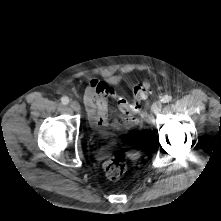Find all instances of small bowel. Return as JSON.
I'll use <instances>...</instances> for the list:
<instances>
[{
    "instance_id": "c3829d8e",
    "label": "small bowel",
    "mask_w": 221,
    "mask_h": 221,
    "mask_svg": "<svg viewBox=\"0 0 221 221\" xmlns=\"http://www.w3.org/2000/svg\"><path fill=\"white\" fill-rule=\"evenodd\" d=\"M116 96L114 90L105 82L91 81L84 93V104L91 125L103 136L109 137L114 131L131 129L137 123L135 113L127 109V104L118 100L120 117L110 118L109 101Z\"/></svg>"
}]
</instances>
